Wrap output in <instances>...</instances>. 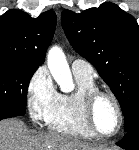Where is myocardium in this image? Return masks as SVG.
I'll list each match as a JSON object with an SVG mask.
<instances>
[{"instance_id":"f54148a6","label":"myocardium","mask_w":139,"mask_h":150,"mask_svg":"<svg viewBox=\"0 0 139 150\" xmlns=\"http://www.w3.org/2000/svg\"><path fill=\"white\" fill-rule=\"evenodd\" d=\"M100 97H107L112 101L118 116L117 127L112 133L109 134L101 133L97 129L94 123V118H93L94 106ZM82 114L88 129L96 137L103 138V139L115 137L121 131L124 122L122 107L117 97L113 93L99 88L91 89L84 94L82 99Z\"/></svg>"}]
</instances>
